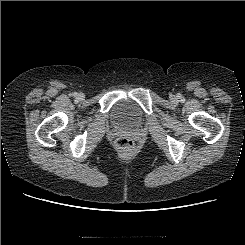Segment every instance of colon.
I'll use <instances>...</instances> for the list:
<instances>
[{"label":"colon","instance_id":"1","mask_svg":"<svg viewBox=\"0 0 245 245\" xmlns=\"http://www.w3.org/2000/svg\"><path fill=\"white\" fill-rule=\"evenodd\" d=\"M116 145L123 151H130L134 144L129 138H120L117 140Z\"/></svg>","mask_w":245,"mask_h":245}]
</instances>
